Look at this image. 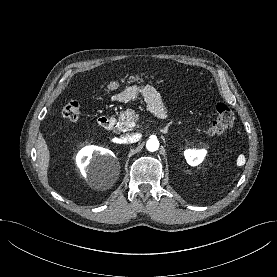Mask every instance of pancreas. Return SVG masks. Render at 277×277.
<instances>
[{
	"mask_svg": "<svg viewBox=\"0 0 277 277\" xmlns=\"http://www.w3.org/2000/svg\"><path fill=\"white\" fill-rule=\"evenodd\" d=\"M138 119L139 116L135 114L134 110L127 109L126 111H122L119 115L116 128L123 132L131 131L134 123H136Z\"/></svg>",
	"mask_w": 277,
	"mask_h": 277,
	"instance_id": "cf45deb5",
	"label": "pancreas"
}]
</instances>
